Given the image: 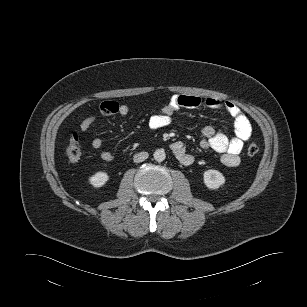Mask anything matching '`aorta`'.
<instances>
[{
	"mask_svg": "<svg viewBox=\"0 0 307 307\" xmlns=\"http://www.w3.org/2000/svg\"><path fill=\"white\" fill-rule=\"evenodd\" d=\"M153 157L154 160L157 162H162L165 160L166 158V154L165 151L163 149H157L155 150V152L153 153Z\"/></svg>",
	"mask_w": 307,
	"mask_h": 307,
	"instance_id": "1",
	"label": "aorta"
}]
</instances>
